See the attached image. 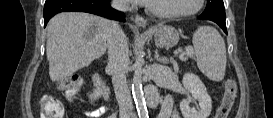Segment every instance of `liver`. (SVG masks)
I'll list each match as a JSON object with an SVG mask.
<instances>
[{"instance_id": "obj_1", "label": "liver", "mask_w": 273, "mask_h": 118, "mask_svg": "<svg viewBox=\"0 0 273 118\" xmlns=\"http://www.w3.org/2000/svg\"><path fill=\"white\" fill-rule=\"evenodd\" d=\"M111 21L84 12H62L47 25L49 76L63 80L106 51Z\"/></svg>"}]
</instances>
